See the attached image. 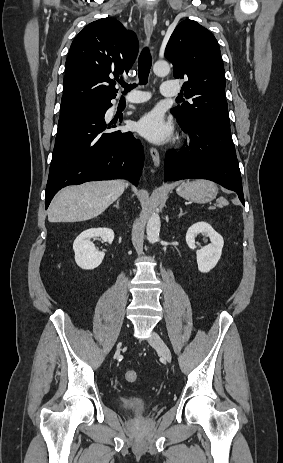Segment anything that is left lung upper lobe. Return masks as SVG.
Masks as SVG:
<instances>
[{
  "mask_svg": "<svg viewBox=\"0 0 283 463\" xmlns=\"http://www.w3.org/2000/svg\"><path fill=\"white\" fill-rule=\"evenodd\" d=\"M165 57L173 64L174 77L187 80L182 90L192 100L171 109L181 125L208 124L230 132L224 65L213 34L196 21H182L168 41Z\"/></svg>",
  "mask_w": 283,
  "mask_h": 463,
  "instance_id": "5c2ea615",
  "label": "left lung upper lobe"
}]
</instances>
